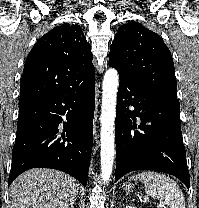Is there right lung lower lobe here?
Here are the masks:
<instances>
[{"mask_svg": "<svg viewBox=\"0 0 199 208\" xmlns=\"http://www.w3.org/2000/svg\"><path fill=\"white\" fill-rule=\"evenodd\" d=\"M94 82L19 105L8 187L22 172L36 167L66 172L86 186L93 144Z\"/></svg>", "mask_w": 199, "mask_h": 208, "instance_id": "98d812e1", "label": "right lung lower lobe"}]
</instances>
